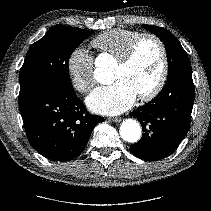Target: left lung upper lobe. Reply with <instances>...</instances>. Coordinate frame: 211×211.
Masks as SVG:
<instances>
[{"label": "left lung upper lobe", "mask_w": 211, "mask_h": 211, "mask_svg": "<svg viewBox=\"0 0 211 211\" xmlns=\"http://www.w3.org/2000/svg\"><path fill=\"white\" fill-rule=\"evenodd\" d=\"M143 28L149 30L150 32L156 34L164 43L167 52L168 60V75L172 74L174 71L191 67L189 57L177 38L170 33L168 30L162 27H156L152 25H143Z\"/></svg>", "instance_id": "obj_1"}]
</instances>
